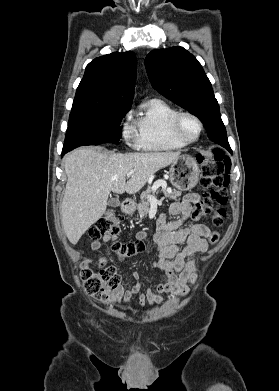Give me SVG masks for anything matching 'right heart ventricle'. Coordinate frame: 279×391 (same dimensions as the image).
Wrapping results in <instances>:
<instances>
[{
  "mask_svg": "<svg viewBox=\"0 0 279 391\" xmlns=\"http://www.w3.org/2000/svg\"><path fill=\"white\" fill-rule=\"evenodd\" d=\"M177 112L178 109L162 99L145 102L135 123L137 147L144 151H172L185 147L171 131V122Z\"/></svg>",
  "mask_w": 279,
  "mask_h": 391,
  "instance_id": "right-heart-ventricle-1",
  "label": "right heart ventricle"
}]
</instances>
